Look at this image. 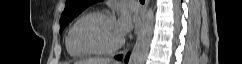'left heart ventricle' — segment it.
Instances as JSON below:
<instances>
[{"instance_id": "left-heart-ventricle-1", "label": "left heart ventricle", "mask_w": 242, "mask_h": 64, "mask_svg": "<svg viewBox=\"0 0 242 64\" xmlns=\"http://www.w3.org/2000/svg\"><path fill=\"white\" fill-rule=\"evenodd\" d=\"M121 39L113 19L91 18L80 24L76 31L77 42L85 48L105 49Z\"/></svg>"}]
</instances>
